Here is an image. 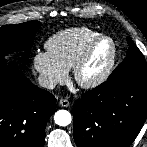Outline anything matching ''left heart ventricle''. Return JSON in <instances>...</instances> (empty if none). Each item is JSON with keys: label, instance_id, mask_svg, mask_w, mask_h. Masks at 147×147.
<instances>
[{"label": "left heart ventricle", "instance_id": "left-heart-ventricle-1", "mask_svg": "<svg viewBox=\"0 0 147 147\" xmlns=\"http://www.w3.org/2000/svg\"><path fill=\"white\" fill-rule=\"evenodd\" d=\"M110 49L111 46L108 41H102L96 46L90 59L82 70L83 79H91L103 70L108 61Z\"/></svg>", "mask_w": 147, "mask_h": 147}]
</instances>
